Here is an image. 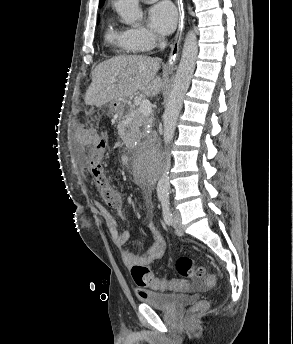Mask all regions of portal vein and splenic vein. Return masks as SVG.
<instances>
[{"label":"portal vein and splenic vein","instance_id":"portal-vein-and-splenic-vein-1","mask_svg":"<svg viewBox=\"0 0 293 344\" xmlns=\"http://www.w3.org/2000/svg\"><path fill=\"white\" fill-rule=\"evenodd\" d=\"M140 112L144 115V116H148L151 114L152 112V105L151 102L148 99H144L141 101L140 103Z\"/></svg>","mask_w":293,"mask_h":344}]
</instances>
